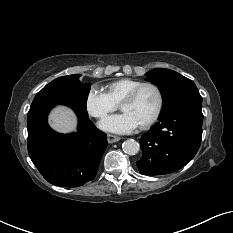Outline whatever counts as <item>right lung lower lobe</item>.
<instances>
[{
    "label": "right lung lower lobe",
    "mask_w": 233,
    "mask_h": 233,
    "mask_svg": "<svg viewBox=\"0 0 233 233\" xmlns=\"http://www.w3.org/2000/svg\"><path fill=\"white\" fill-rule=\"evenodd\" d=\"M58 101L30 107L27 115L28 153L43 177L53 185L77 187L94 179L108 145L107 135L88 119L87 110L71 107L79 118L77 133L59 134L47 124L50 109Z\"/></svg>",
    "instance_id": "98d812e1"
}]
</instances>
